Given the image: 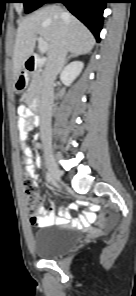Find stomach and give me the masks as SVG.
I'll list each match as a JSON object with an SVG mask.
<instances>
[{"label": "stomach", "mask_w": 136, "mask_h": 296, "mask_svg": "<svg viewBox=\"0 0 136 296\" xmlns=\"http://www.w3.org/2000/svg\"><path fill=\"white\" fill-rule=\"evenodd\" d=\"M16 90H26V85H16Z\"/></svg>", "instance_id": "0dacf381"}]
</instances>
